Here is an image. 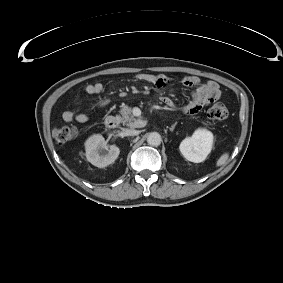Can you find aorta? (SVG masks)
<instances>
[{
	"label": "aorta",
	"mask_w": 283,
	"mask_h": 283,
	"mask_svg": "<svg viewBox=\"0 0 283 283\" xmlns=\"http://www.w3.org/2000/svg\"><path fill=\"white\" fill-rule=\"evenodd\" d=\"M162 138L158 132H151L148 134L147 143L150 146H159L161 144Z\"/></svg>",
	"instance_id": "aorta-1"
}]
</instances>
